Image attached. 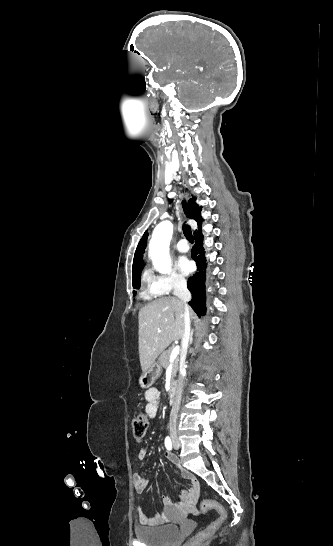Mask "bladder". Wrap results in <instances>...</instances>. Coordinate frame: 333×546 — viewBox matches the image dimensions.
<instances>
[{
  "label": "bladder",
  "mask_w": 333,
  "mask_h": 546,
  "mask_svg": "<svg viewBox=\"0 0 333 546\" xmlns=\"http://www.w3.org/2000/svg\"><path fill=\"white\" fill-rule=\"evenodd\" d=\"M134 533L136 539L147 546H172L180 535V528L176 524L140 526Z\"/></svg>",
  "instance_id": "1"
}]
</instances>
